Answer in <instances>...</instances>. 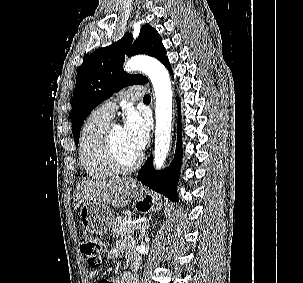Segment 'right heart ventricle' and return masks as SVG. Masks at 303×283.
I'll return each instance as SVG.
<instances>
[{
  "mask_svg": "<svg viewBox=\"0 0 303 283\" xmlns=\"http://www.w3.org/2000/svg\"><path fill=\"white\" fill-rule=\"evenodd\" d=\"M111 118L99 109L85 120L79 139V157L85 173L93 180H105L113 176L102 154V139Z\"/></svg>",
  "mask_w": 303,
  "mask_h": 283,
  "instance_id": "obj_1",
  "label": "right heart ventricle"
}]
</instances>
